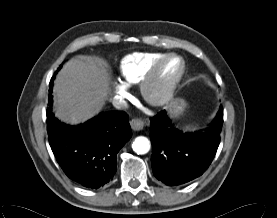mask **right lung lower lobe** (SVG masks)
Here are the masks:
<instances>
[{
	"label": "right lung lower lobe",
	"mask_w": 277,
	"mask_h": 218,
	"mask_svg": "<svg viewBox=\"0 0 277 218\" xmlns=\"http://www.w3.org/2000/svg\"><path fill=\"white\" fill-rule=\"evenodd\" d=\"M47 119L50 146L65 174L91 189L107 184L116 172L118 151L132 136L128 115L123 111L102 112L83 124L69 126L48 108Z\"/></svg>",
	"instance_id": "1"
}]
</instances>
